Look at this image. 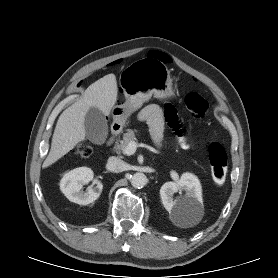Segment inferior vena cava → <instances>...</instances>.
Instances as JSON below:
<instances>
[{"instance_id":"1","label":"inferior vena cava","mask_w":278,"mask_h":278,"mask_svg":"<svg viewBox=\"0 0 278 278\" xmlns=\"http://www.w3.org/2000/svg\"><path fill=\"white\" fill-rule=\"evenodd\" d=\"M107 167L109 170L118 173L126 170V163L123 160L112 156L108 159Z\"/></svg>"}]
</instances>
